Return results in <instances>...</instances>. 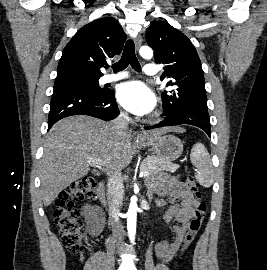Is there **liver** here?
Instances as JSON below:
<instances>
[{
  "label": "liver",
  "mask_w": 267,
  "mask_h": 270,
  "mask_svg": "<svg viewBox=\"0 0 267 270\" xmlns=\"http://www.w3.org/2000/svg\"><path fill=\"white\" fill-rule=\"evenodd\" d=\"M178 128H162L143 132L135 138L130 131L116 134L112 123L75 115L58 121L48 132L40 161L41 195L49 206L58 194L74 181L88 175L92 165L110 172L124 169L132 161L139 146H147L166 132ZM89 158L98 163H88Z\"/></svg>",
  "instance_id": "1"
}]
</instances>
